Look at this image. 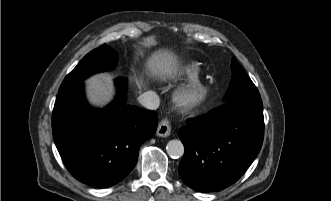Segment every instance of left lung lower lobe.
Wrapping results in <instances>:
<instances>
[{
    "instance_id": "obj_1",
    "label": "left lung lower lobe",
    "mask_w": 331,
    "mask_h": 201,
    "mask_svg": "<svg viewBox=\"0 0 331 201\" xmlns=\"http://www.w3.org/2000/svg\"><path fill=\"white\" fill-rule=\"evenodd\" d=\"M185 153L179 175L199 192L220 191L234 184L259 153L264 137L260 97L225 102L191 119L179 130Z\"/></svg>"
}]
</instances>
